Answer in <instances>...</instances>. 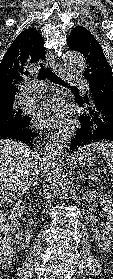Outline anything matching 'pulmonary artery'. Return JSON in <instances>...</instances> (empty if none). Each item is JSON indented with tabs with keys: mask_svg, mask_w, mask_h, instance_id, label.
<instances>
[{
	"mask_svg": "<svg viewBox=\"0 0 113 279\" xmlns=\"http://www.w3.org/2000/svg\"><path fill=\"white\" fill-rule=\"evenodd\" d=\"M66 80L74 85H81L85 89H87V85L85 81L77 75L67 74ZM46 90V87L44 84L40 82H34L33 84H27L24 87V92L22 94V100L24 101H31L33 100L38 94L43 93Z\"/></svg>",
	"mask_w": 113,
	"mask_h": 279,
	"instance_id": "e3ab8cb5",
	"label": "pulmonary artery"
}]
</instances>
